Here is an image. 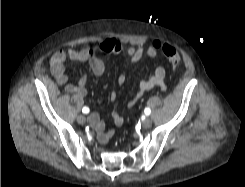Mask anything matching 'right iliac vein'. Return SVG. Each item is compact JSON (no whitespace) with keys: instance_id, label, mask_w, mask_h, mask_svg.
Instances as JSON below:
<instances>
[{"instance_id":"obj_1","label":"right iliac vein","mask_w":245,"mask_h":187,"mask_svg":"<svg viewBox=\"0 0 245 187\" xmlns=\"http://www.w3.org/2000/svg\"><path fill=\"white\" fill-rule=\"evenodd\" d=\"M85 121H86L85 116H83V115H79V116L77 117V122H78V123H80V124H84V123H85Z\"/></svg>"}]
</instances>
